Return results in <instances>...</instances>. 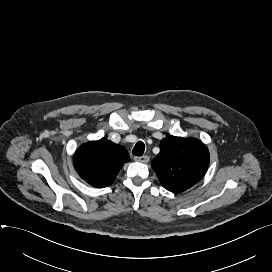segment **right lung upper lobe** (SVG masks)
Instances as JSON below:
<instances>
[{
  "mask_svg": "<svg viewBox=\"0 0 272 272\" xmlns=\"http://www.w3.org/2000/svg\"><path fill=\"white\" fill-rule=\"evenodd\" d=\"M129 161L125 147L105 138L81 145L73 159L79 176L97 188L111 185L121 167Z\"/></svg>",
  "mask_w": 272,
  "mask_h": 272,
  "instance_id": "obj_1",
  "label": "right lung upper lobe"
}]
</instances>
